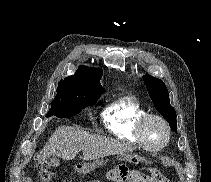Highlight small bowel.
I'll return each instance as SVG.
<instances>
[{"label":"small bowel","mask_w":211,"mask_h":182,"mask_svg":"<svg viewBox=\"0 0 211 182\" xmlns=\"http://www.w3.org/2000/svg\"><path fill=\"white\" fill-rule=\"evenodd\" d=\"M113 173H114L113 171H110V172L108 173V179L113 180V179H112ZM119 182H120V181H119Z\"/></svg>","instance_id":"c3829d8e"}]
</instances>
